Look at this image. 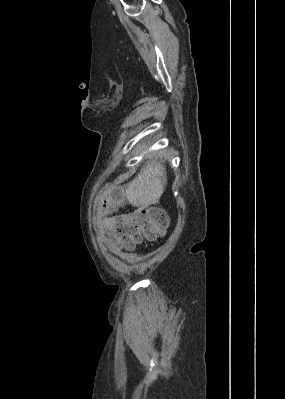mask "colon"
<instances>
[{
    "instance_id": "colon-1",
    "label": "colon",
    "mask_w": 285,
    "mask_h": 399,
    "mask_svg": "<svg viewBox=\"0 0 285 399\" xmlns=\"http://www.w3.org/2000/svg\"><path fill=\"white\" fill-rule=\"evenodd\" d=\"M118 202L115 193L102 197L98 213L109 223L107 235L113 238L122 251L131 250L146 236L163 234L169 228L166 213L160 208H143L125 213H117Z\"/></svg>"
}]
</instances>
